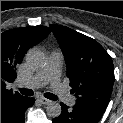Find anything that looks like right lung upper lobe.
<instances>
[{"label": "right lung upper lobe", "mask_w": 123, "mask_h": 123, "mask_svg": "<svg viewBox=\"0 0 123 123\" xmlns=\"http://www.w3.org/2000/svg\"><path fill=\"white\" fill-rule=\"evenodd\" d=\"M50 31L45 26H29L1 33V104L23 97L17 92L13 94L6 84L16 79V66L26 51L42 41Z\"/></svg>", "instance_id": "1"}]
</instances>
